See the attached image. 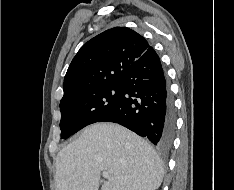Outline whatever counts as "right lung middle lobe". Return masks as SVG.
<instances>
[{
	"mask_svg": "<svg viewBox=\"0 0 234 190\" xmlns=\"http://www.w3.org/2000/svg\"><path fill=\"white\" fill-rule=\"evenodd\" d=\"M120 92V85L113 84L60 102L61 139H67L85 126L98 122L114 107Z\"/></svg>",
	"mask_w": 234,
	"mask_h": 190,
	"instance_id": "dd1d6c3e",
	"label": "right lung middle lobe"
}]
</instances>
